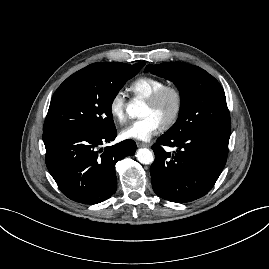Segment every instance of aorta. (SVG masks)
<instances>
[{"label":"aorta","mask_w":269,"mask_h":269,"mask_svg":"<svg viewBox=\"0 0 269 269\" xmlns=\"http://www.w3.org/2000/svg\"><path fill=\"white\" fill-rule=\"evenodd\" d=\"M145 104L142 100L134 99L127 106V113L130 117H141L143 114ZM136 158L141 164H150L154 161V154L147 148L138 149L136 152Z\"/></svg>","instance_id":"762f6f07"}]
</instances>
